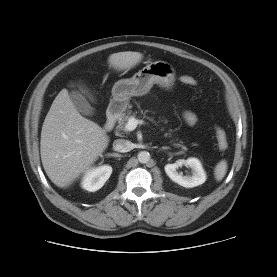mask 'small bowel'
Instances as JSON below:
<instances>
[{
	"instance_id": "c3829d8e",
	"label": "small bowel",
	"mask_w": 277,
	"mask_h": 277,
	"mask_svg": "<svg viewBox=\"0 0 277 277\" xmlns=\"http://www.w3.org/2000/svg\"><path fill=\"white\" fill-rule=\"evenodd\" d=\"M183 118L185 122L190 126L195 125L197 122V116L191 111H185L183 114Z\"/></svg>"
}]
</instances>
